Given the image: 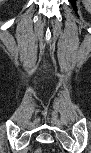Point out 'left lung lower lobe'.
Instances as JSON below:
<instances>
[{
  "mask_svg": "<svg viewBox=\"0 0 91 153\" xmlns=\"http://www.w3.org/2000/svg\"><path fill=\"white\" fill-rule=\"evenodd\" d=\"M70 2H71V4L73 5V7L76 9V7H75V1L76 0H69Z\"/></svg>",
  "mask_w": 91,
  "mask_h": 153,
  "instance_id": "0a47b994",
  "label": "left lung lower lobe"
}]
</instances>
